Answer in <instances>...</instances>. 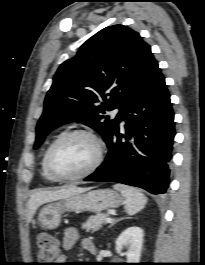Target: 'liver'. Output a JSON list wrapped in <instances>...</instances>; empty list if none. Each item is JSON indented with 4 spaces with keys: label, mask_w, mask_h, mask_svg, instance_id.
<instances>
[{
    "label": "liver",
    "mask_w": 205,
    "mask_h": 265,
    "mask_svg": "<svg viewBox=\"0 0 205 265\" xmlns=\"http://www.w3.org/2000/svg\"><path fill=\"white\" fill-rule=\"evenodd\" d=\"M90 188H81L75 185L64 186L58 190H48L43 191L39 190L34 192L28 202V222L31 221L33 215L35 214L36 210L43 204L61 200L67 198L72 195L84 193L88 191Z\"/></svg>",
    "instance_id": "1"
}]
</instances>
